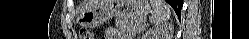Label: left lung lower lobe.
I'll list each match as a JSON object with an SVG mask.
<instances>
[{
	"instance_id": "0a47b994",
	"label": "left lung lower lobe",
	"mask_w": 249,
	"mask_h": 39,
	"mask_svg": "<svg viewBox=\"0 0 249 39\" xmlns=\"http://www.w3.org/2000/svg\"><path fill=\"white\" fill-rule=\"evenodd\" d=\"M175 10L177 16L181 17V9L183 6V0H166Z\"/></svg>"
}]
</instances>
